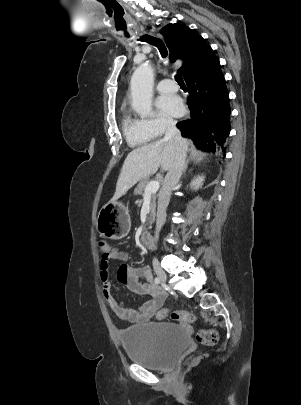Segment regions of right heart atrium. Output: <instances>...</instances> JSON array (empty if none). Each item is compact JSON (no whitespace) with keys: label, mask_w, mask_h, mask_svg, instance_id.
<instances>
[{"label":"right heart atrium","mask_w":301,"mask_h":405,"mask_svg":"<svg viewBox=\"0 0 301 405\" xmlns=\"http://www.w3.org/2000/svg\"><path fill=\"white\" fill-rule=\"evenodd\" d=\"M144 123L153 135L159 136L173 126L174 120L166 115L159 114L150 119L144 120Z\"/></svg>","instance_id":"1"}]
</instances>
